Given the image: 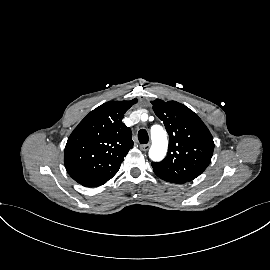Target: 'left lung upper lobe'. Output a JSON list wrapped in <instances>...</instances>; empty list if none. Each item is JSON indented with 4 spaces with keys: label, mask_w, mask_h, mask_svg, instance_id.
Returning a JSON list of instances; mask_svg holds the SVG:
<instances>
[{
    "label": "left lung upper lobe",
    "mask_w": 270,
    "mask_h": 270,
    "mask_svg": "<svg viewBox=\"0 0 270 270\" xmlns=\"http://www.w3.org/2000/svg\"><path fill=\"white\" fill-rule=\"evenodd\" d=\"M155 114L169 134V150L161 162H152L155 171L192 181L209 165L214 142L202 120L176 101H151Z\"/></svg>",
    "instance_id": "5c2ea615"
}]
</instances>
